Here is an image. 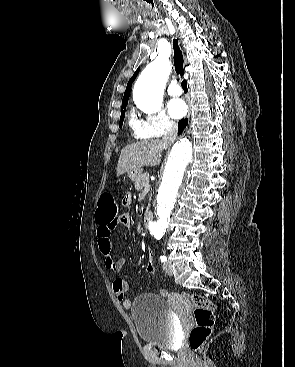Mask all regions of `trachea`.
<instances>
[{
	"label": "trachea",
	"mask_w": 295,
	"mask_h": 367,
	"mask_svg": "<svg viewBox=\"0 0 295 367\" xmlns=\"http://www.w3.org/2000/svg\"><path fill=\"white\" fill-rule=\"evenodd\" d=\"M173 49H174V66L177 74L183 76V55L176 39H173ZM181 86L183 90H188L187 82L185 80L182 81Z\"/></svg>",
	"instance_id": "1"
}]
</instances>
